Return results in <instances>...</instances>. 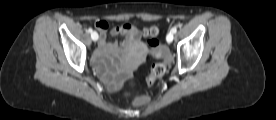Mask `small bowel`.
<instances>
[{
  "mask_svg": "<svg viewBox=\"0 0 276 120\" xmlns=\"http://www.w3.org/2000/svg\"><path fill=\"white\" fill-rule=\"evenodd\" d=\"M95 27L100 33L99 47L94 56L96 72L109 88L118 89L123 80L120 64L125 57L124 50L139 45L140 32L131 24L116 26L111 30L112 35L123 36L125 39L122 42L109 43L106 35L109 24L100 20L96 22Z\"/></svg>",
  "mask_w": 276,
  "mask_h": 120,
  "instance_id": "c3829d8e",
  "label": "small bowel"
}]
</instances>
